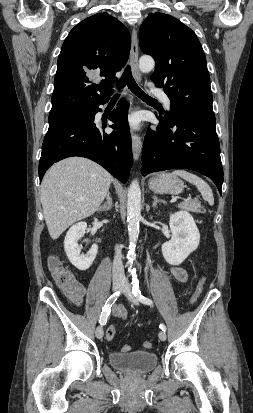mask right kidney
<instances>
[{"label": "right kidney", "mask_w": 253, "mask_h": 413, "mask_svg": "<svg viewBox=\"0 0 253 413\" xmlns=\"http://www.w3.org/2000/svg\"><path fill=\"white\" fill-rule=\"evenodd\" d=\"M86 228V222L73 225L68 230L64 240V249L69 261L82 271L87 270L92 265L98 251V246L94 244L86 255L81 254V247L77 241L84 236Z\"/></svg>", "instance_id": "obj_1"}]
</instances>
